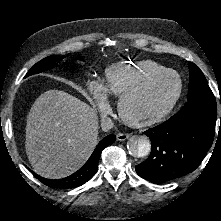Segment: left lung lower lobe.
I'll use <instances>...</instances> for the list:
<instances>
[{
    "instance_id": "0a47b994",
    "label": "left lung lower lobe",
    "mask_w": 221,
    "mask_h": 221,
    "mask_svg": "<svg viewBox=\"0 0 221 221\" xmlns=\"http://www.w3.org/2000/svg\"><path fill=\"white\" fill-rule=\"evenodd\" d=\"M216 114L215 99L197 98L169 120L147 130L151 154L136 166L137 174L160 183L194 171L212 146Z\"/></svg>"
}]
</instances>
